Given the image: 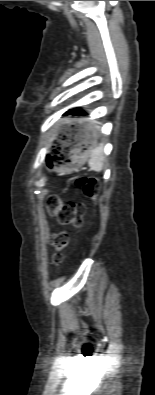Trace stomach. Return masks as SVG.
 <instances>
[{"label": "stomach", "mask_w": 155, "mask_h": 395, "mask_svg": "<svg viewBox=\"0 0 155 395\" xmlns=\"http://www.w3.org/2000/svg\"><path fill=\"white\" fill-rule=\"evenodd\" d=\"M95 133H90L88 128L82 129L73 139V142H68L70 146L68 150V162L60 166L67 170H73L74 167L82 166L91 152L96 147Z\"/></svg>", "instance_id": "obj_1"}]
</instances>
